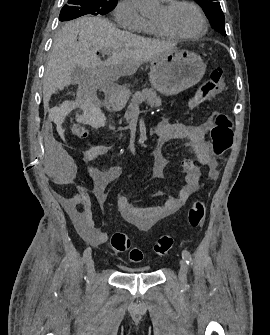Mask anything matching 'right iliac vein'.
Listing matches in <instances>:
<instances>
[{
  "label": "right iliac vein",
  "instance_id": "right-iliac-vein-1",
  "mask_svg": "<svg viewBox=\"0 0 270 335\" xmlns=\"http://www.w3.org/2000/svg\"><path fill=\"white\" fill-rule=\"evenodd\" d=\"M87 275L90 281H93L95 277V267H94V261L90 257L87 261Z\"/></svg>",
  "mask_w": 270,
  "mask_h": 335
}]
</instances>
